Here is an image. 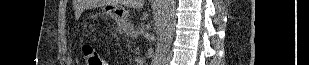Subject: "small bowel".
Segmentation results:
<instances>
[{"label": "small bowel", "mask_w": 309, "mask_h": 65, "mask_svg": "<svg viewBox=\"0 0 309 65\" xmlns=\"http://www.w3.org/2000/svg\"><path fill=\"white\" fill-rule=\"evenodd\" d=\"M103 64H104V65H109V63H108V62H106V61H103Z\"/></svg>", "instance_id": "c3829d8e"}]
</instances>
